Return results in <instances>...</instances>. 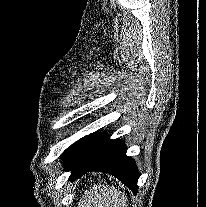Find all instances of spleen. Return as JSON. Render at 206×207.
<instances>
[{"mask_svg": "<svg viewBox=\"0 0 206 207\" xmlns=\"http://www.w3.org/2000/svg\"><path fill=\"white\" fill-rule=\"evenodd\" d=\"M124 192L115 187L98 184L86 190L78 203V207H127Z\"/></svg>", "mask_w": 206, "mask_h": 207, "instance_id": "spleen-1", "label": "spleen"}]
</instances>
